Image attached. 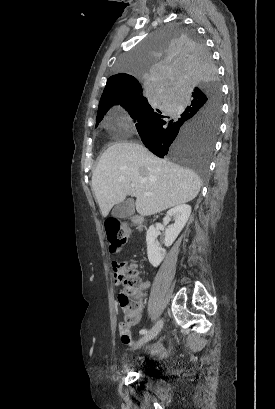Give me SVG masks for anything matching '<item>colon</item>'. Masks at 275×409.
I'll list each match as a JSON object with an SVG mask.
<instances>
[{
  "instance_id": "colon-1",
  "label": "colon",
  "mask_w": 275,
  "mask_h": 409,
  "mask_svg": "<svg viewBox=\"0 0 275 409\" xmlns=\"http://www.w3.org/2000/svg\"><path fill=\"white\" fill-rule=\"evenodd\" d=\"M104 232L110 249L114 253L123 251L127 242V230L118 219H109L104 227ZM126 263L128 260H122ZM122 261H114L112 263V272L114 275H121L119 278L123 286V292L118 294V300L121 308L125 312V319L118 325H133L138 316L143 302V294L141 289L146 282L143 278L135 273L137 261L131 260L126 266Z\"/></svg>"
}]
</instances>
